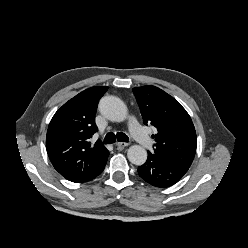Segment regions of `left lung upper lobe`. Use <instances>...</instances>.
Listing matches in <instances>:
<instances>
[{
	"instance_id": "obj_1",
	"label": "left lung upper lobe",
	"mask_w": 248,
	"mask_h": 248,
	"mask_svg": "<svg viewBox=\"0 0 248 248\" xmlns=\"http://www.w3.org/2000/svg\"><path fill=\"white\" fill-rule=\"evenodd\" d=\"M133 92L144 124L157 129L152 135L156 141L153 155L189 168L197 146L189 114L172 96L155 86L136 87Z\"/></svg>"
}]
</instances>
